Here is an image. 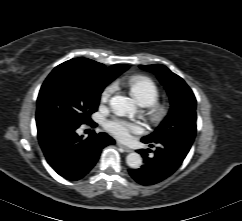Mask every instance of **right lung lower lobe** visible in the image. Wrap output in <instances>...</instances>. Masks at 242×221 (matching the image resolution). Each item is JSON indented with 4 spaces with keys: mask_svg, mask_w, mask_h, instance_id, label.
I'll use <instances>...</instances> for the list:
<instances>
[{
    "mask_svg": "<svg viewBox=\"0 0 242 221\" xmlns=\"http://www.w3.org/2000/svg\"><path fill=\"white\" fill-rule=\"evenodd\" d=\"M79 126L59 122L37 126L47 162L60 176L71 181L83 178L96 164L101 150L115 143L106 133L92 132L82 139L76 133Z\"/></svg>",
    "mask_w": 242,
    "mask_h": 221,
    "instance_id": "right-lung-lower-lobe-1",
    "label": "right lung lower lobe"
}]
</instances>
